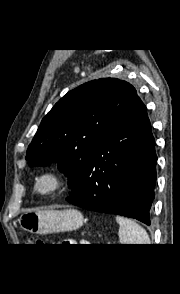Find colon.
<instances>
[{
    "instance_id": "obj_1",
    "label": "colon",
    "mask_w": 180,
    "mask_h": 294,
    "mask_svg": "<svg viewBox=\"0 0 180 294\" xmlns=\"http://www.w3.org/2000/svg\"><path fill=\"white\" fill-rule=\"evenodd\" d=\"M29 241H30L31 243H38V242H39V240L35 239L34 237H31V238L29 239Z\"/></svg>"
}]
</instances>
